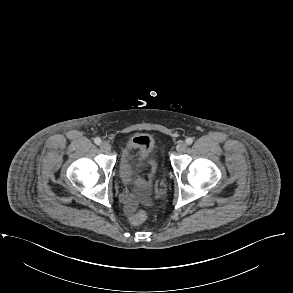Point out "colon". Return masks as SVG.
Returning <instances> with one entry per match:
<instances>
[{"mask_svg":"<svg viewBox=\"0 0 293 293\" xmlns=\"http://www.w3.org/2000/svg\"><path fill=\"white\" fill-rule=\"evenodd\" d=\"M147 219V213L144 210H140L133 214L129 221L133 226H139Z\"/></svg>","mask_w":293,"mask_h":293,"instance_id":"1","label":"colon"}]
</instances>
